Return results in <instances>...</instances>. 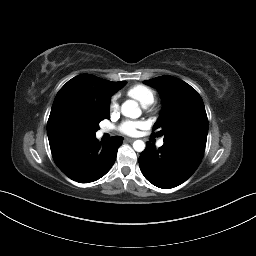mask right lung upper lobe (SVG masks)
Segmentation results:
<instances>
[{
  "label": "right lung upper lobe",
  "instance_id": "cb5924a9",
  "mask_svg": "<svg viewBox=\"0 0 256 256\" xmlns=\"http://www.w3.org/2000/svg\"><path fill=\"white\" fill-rule=\"evenodd\" d=\"M121 82H111L88 74L68 81L59 90L52 105L47 123L49 140L62 137L64 120L70 115L84 119L109 115L110 97L120 89Z\"/></svg>",
  "mask_w": 256,
  "mask_h": 256
}]
</instances>
